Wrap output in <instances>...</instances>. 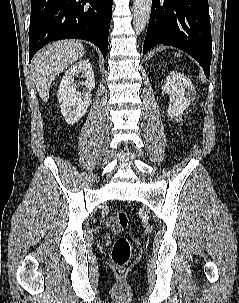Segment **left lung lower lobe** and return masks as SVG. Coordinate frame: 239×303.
<instances>
[{"label":"left lung lower lobe","mask_w":239,"mask_h":303,"mask_svg":"<svg viewBox=\"0 0 239 303\" xmlns=\"http://www.w3.org/2000/svg\"><path fill=\"white\" fill-rule=\"evenodd\" d=\"M158 44L191 55L209 79L212 38L208 0H152L143 55Z\"/></svg>","instance_id":"0a47b994"}]
</instances>
